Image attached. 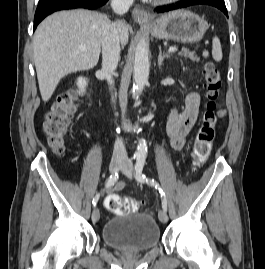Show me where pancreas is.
<instances>
[{"label": "pancreas", "mask_w": 265, "mask_h": 269, "mask_svg": "<svg viewBox=\"0 0 265 269\" xmlns=\"http://www.w3.org/2000/svg\"><path fill=\"white\" fill-rule=\"evenodd\" d=\"M179 55H181V56H183V57H185V58H189L190 60L195 61V62H198V61H199V57L196 56V55L194 54V52H191V51H189V50L186 49V48H183V49L181 50V52L179 53Z\"/></svg>", "instance_id": "pancreas-1"}]
</instances>
